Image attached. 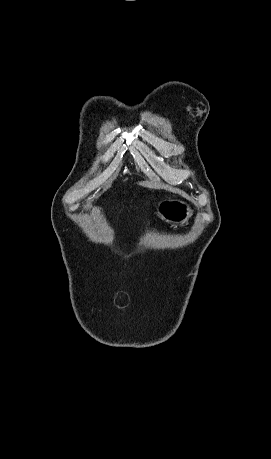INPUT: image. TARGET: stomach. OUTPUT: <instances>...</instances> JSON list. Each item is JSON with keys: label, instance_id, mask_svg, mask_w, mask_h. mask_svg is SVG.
I'll use <instances>...</instances> for the list:
<instances>
[{"label": "stomach", "instance_id": "0dacf381", "mask_svg": "<svg viewBox=\"0 0 271 459\" xmlns=\"http://www.w3.org/2000/svg\"><path fill=\"white\" fill-rule=\"evenodd\" d=\"M157 214L161 220H165L172 226H182L187 224L192 216V210L185 202H177V200H165L160 202L157 208Z\"/></svg>", "mask_w": 271, "mask_h": 459}]
</instances>
